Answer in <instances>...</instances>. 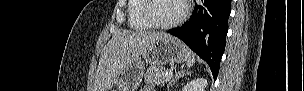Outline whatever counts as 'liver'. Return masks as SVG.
<instances>
[{"mask_svg":"<svg viewBox=\"0 0 304 91\" xmlns=\"http://www.w3.org/2000/svg\"><path fill=\"white\" fill-rule=\"evenodd\" d=\"M168 36L163 32L116 33L100 55L93 91H110L122 68L146 54L154 42Z\"/></svg>","mask_w":304,"mask_h":91,"instance_id":"obj_1","label":"liver"}]
</instances>
